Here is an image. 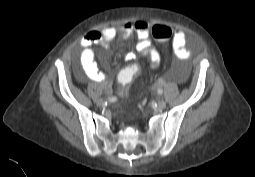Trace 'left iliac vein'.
Wrapping results in <instances>:
<instances>
[{
	"label": "left iliac vein",
	"instance_id": "1",
	"mask_svg": "<svg viewBox=\"0 0 255 177\" xmlns=\"http://www.w3.org/2000/svg\"><path fill=\"white\" fill-rule=\"evenodd\" d=\"M166 107V101L163 99H159L157 102V108L162 110Z\"/></svg>",
	"mask_w": 255,
	"mask_h": 177
}]
</instances>
